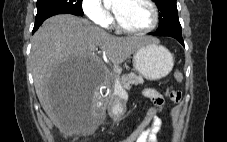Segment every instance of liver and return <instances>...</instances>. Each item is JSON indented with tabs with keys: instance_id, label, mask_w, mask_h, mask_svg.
<instances>
[{
	"instance_id": "6515ba94",
	"label": "liver",
	"mask_w": 227,
	"mask_h": 142,
	"mask_svg": "<svg viewBox=\"0 0 227 142\" xmlns=\"http://www.w3.org/2000/svg\"><path fill=\"white\" fill-rule=\"evenodd\" d=\"M147 42L158 41L146 36H113L71 14L45 20L32 37L30 63L38 99L52 122L64 133H83L86 122L96 114V91L104 80L94 71L98 60L94 51L99 47L118 66ZM58 61H93L88 73H94V78H86L87 88H73L68 94H61L67 88H52L53 81H49Z\"/></svg>"
}]
</instances>
